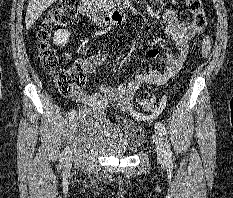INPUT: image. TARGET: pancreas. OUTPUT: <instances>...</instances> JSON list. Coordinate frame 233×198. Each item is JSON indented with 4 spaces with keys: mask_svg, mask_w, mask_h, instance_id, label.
<instances>
[{
    "mask_svg": "<svg viewBox=\"0 0 233 198\" xmlns=\"http://www.w3.org/2000/svg\"><path fill=\"white\" fill-rule=\"evenodd\" d=\"M92 1L98 5L110 9H113L120 4V0H92Z\"/></svg>",
    "mask_w": 233,
    "mask_h": 198,
    "instance_id": "pancreas-1",
    "label": "pancreas"
}]
</instances>
